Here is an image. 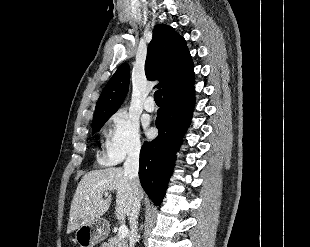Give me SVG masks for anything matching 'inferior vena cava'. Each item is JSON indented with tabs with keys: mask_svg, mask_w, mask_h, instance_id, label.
Here are the masks:
<instances>
[{
	"mask_svg": "<svg viewBox=\"0 0 310 247\" xmlns=\"http://www.w3.org/2000/svg\"><path fill=\"white\" fill-rule=\"evenodd\" d=\"M139 154L140 146L132 148L124 162V172L130 180L132 207L129 214L130 223V247H134L138 240L137 224L140 210L139 188L140 182L138 177L139 171Z\"/></svg>",
	"mask_w": 310,
	"mask_h": 247,
	"instance_id": "1",
	"label": "inferior vena cava"
}]
</instances>
